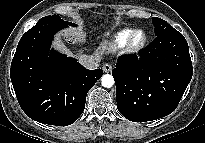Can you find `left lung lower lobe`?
I'll list each match as a JSON object with an SVG mask.
<instances>
[{
	"instance_id": "1",
	"label": "left lung lower lobe",
	"mask_w": 205,
	"mask_h": 143,
	"mask_svg": "<svg viewBox=\"0 0 205 143\" xmlns=\"http://www.w3.org/2000/svg\"><path fill=\"white\" fill-rule=\"evenodd\" d=\"M112 75L118 111L133 122L171 114L191 81L189 47L177 30L156 36L141 57L118 58Z\"/></svg>"
}]
</instances>
